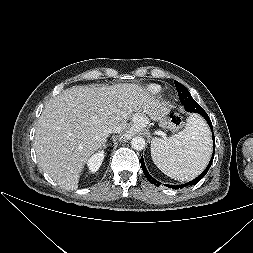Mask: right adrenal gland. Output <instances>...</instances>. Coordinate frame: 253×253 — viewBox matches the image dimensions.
<instances>
[{
  "label": "right adrenal gland",
  "instance_id": "2a0ac1e0",
  "mask_svg": "<svg viewBox=\"0 0 253 253\" xmlns=\"http://www.w3.org/2000/svg\"><path fill=\"white\" fill-rule=\"evenodd\" d=\"M106 141H107V140H106ZM106 141L104 142V144H103V146H102L103 149H106V148H107V145H108V144H106Z\"/></svg>",
  "mask_w": 253,
  "mask_h": 253
}]
</instances>
